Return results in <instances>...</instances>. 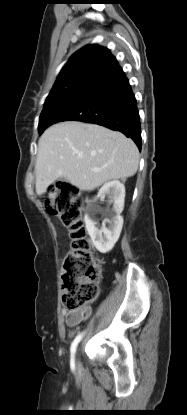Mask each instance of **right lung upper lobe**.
<instances>
[{
	"label": "right lung upper lobe",
	"instance_id": "1",
	"mask_svg": "<svg viewBox=\"0 0 187 415\" xmlns=\"http://www.w3.org/2000/svg\"><path fill=\"white\" fill-rule=\"evenodd\" d=\"M114 60H116L115 57L107 48L95 44L78 50L62 68L45 101L44 109L61 100L77 82Z\"/></svg>",
	"mask_w": 187,
	"mask_h": 415
}]
</instances>
